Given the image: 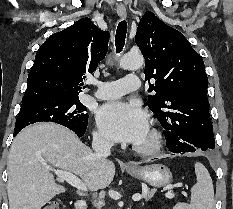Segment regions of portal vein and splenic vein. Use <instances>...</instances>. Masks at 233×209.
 <instances>
[{
    "label": "portal vein and splenic vein",
    "instance_id": "obj_1",
    "mask_svg": "<svg viewBox=\"0 0 233 209\" xmlns=\"http://www.w3.org/2000/svg\"><path fill=\"white\" fill-rule=\"evenodd\" d=\"M47 169L53 171L56 176L60 179V180H65L67 183H69L71 186L75 187L77 190L81 191V192H86L87 191V187L85 186V184L74 174L63 171V170H58L55 168H52L50 166H46ZM173 190H169L166 194L165 197L166 198H172L173 195ZM142 198V195L138 194L132 197L133 201H139Z\"/></svg>",
    "mask_w": 233,
    "mask_h": 209
}]
</instances>
